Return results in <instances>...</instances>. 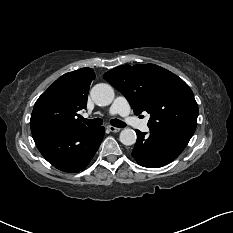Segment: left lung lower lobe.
Listing matches in <instances>:
<instances>
[{
	"mask_svg": "<svg viewBox=\"0 0 233 233\" xmlns=\"http://www.w3.org/2000/svg\"><path fill=\"white\" fill-rule=\"evenodd\" d=\"M137 141L132 156L139 165L147 168L164 166L176 159L191 137L166 131L150 130L146 133L136 130Z\"/></svg>",
	"mask_w": 233,
	"mask_h": 233,
	"instance_id": "obj_1",
	"label": "left lung lower lobe"
}]
</instances>
